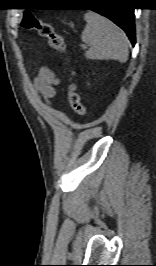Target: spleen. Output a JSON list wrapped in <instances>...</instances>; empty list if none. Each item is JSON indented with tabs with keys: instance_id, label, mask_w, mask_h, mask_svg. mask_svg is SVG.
Listing matches in <instances>:
<instances>
[{
	"instance_id": "spleen-1",
	"label": "spleen",
	"mask_w": 156,
	"mask_h": 266,
	"mask_svg": "<svg viewBox=\"0 0 156 266\" xmlns=\"http://www.w3.org/2000/svg\"><path fill=\"white\" fill-rule=\"evenodd\" d=\"M84 19L86 26L81 40L90 46L85 57L92 60L126 62L129 53L126 34L109 19L95 12L86 13Z\"/></svg>"
}]
</instances>
